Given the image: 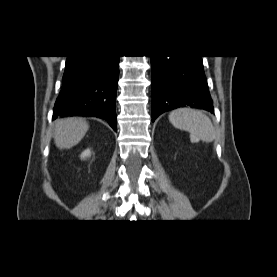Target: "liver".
Instances as JSON below:
<instances>
[{
  "instance_id": "liver-1",
  "label": "liver",
  "mask_w": 277,
  "mask_h": 277,
  "mask_svg": "<svg viewBox=\"0 0 277 277\" xmlns=\"http://www.w3.org/2000/svg\"><path fill=\"white\" fill-rule=\"evenodd\" d=\"M88 129L89 125L84 119H59L55 122V144L60 149H70L82 140Z\"/></svg>"
}]
</instances>
